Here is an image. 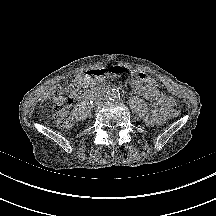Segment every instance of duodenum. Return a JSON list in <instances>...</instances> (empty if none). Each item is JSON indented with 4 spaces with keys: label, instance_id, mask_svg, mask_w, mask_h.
<instances>
[{
    "label": "duodenum",
    "instance_id": "duodenum-1",
    "mask_svg": "<svg viewBox=\"0 0 216 216\" xmlns=\"http://www.w3.org/2000/svg\"><path fill=\"white\" fill-rule=\"evenodd\" d=\"M108 90H109V89L106 88V87L101 88V89H99L98 92H95V93H87V94L85 95V98H86V99H89V98L94 97V96H96V95H98V94L104 93V92H106V91H108Z\"/></svg>",
    "mask_w": 216,
    "mask_h": 216
}]
</instances>
